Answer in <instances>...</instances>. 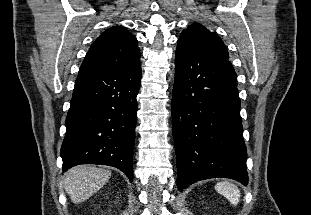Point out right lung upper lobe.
<instances>
[{
    "mask_svg": "<svg viewBox=\"0 0 311 215\" xmlns=\"http://www.w3.org/2000/svg\"><path fill=\"white\" fill-rule=\"evenodd\" d=\"M140 63L137 40L125 27L114 26L90 47L81 67L130 69Z\"/></svg>",
    "mask_w": 311,
    "mask_h": 215,
    "instance_id": "obj_1",
    "label": "right lung upper lobe"
}]
</instances>
